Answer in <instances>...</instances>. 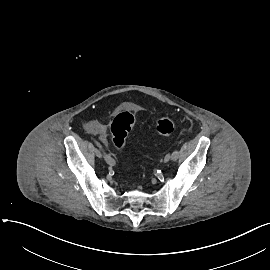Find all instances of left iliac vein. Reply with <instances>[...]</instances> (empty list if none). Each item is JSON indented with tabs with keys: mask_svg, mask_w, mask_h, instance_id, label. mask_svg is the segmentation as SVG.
Here are the masks:
<instances>
[{
	"mask_svg": "<svg viewBox=\"0 0 270 270\" xmlns=\"http://www.w3.org/2000/svg\"><path fill=\"white\" fill-rule=\"evenodd\" d=\"M170 159H171V154H167V155L164 157V162L167 163Z\"/></svg>",
	"mask_w": 270,
	"mask_h": 270,
	"instance_id": "obj_1",
	"label": "left iliac vein"
}]
</instances>
